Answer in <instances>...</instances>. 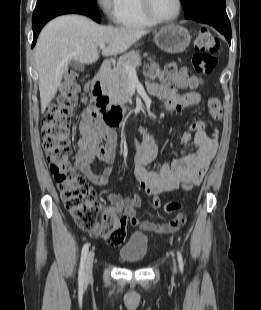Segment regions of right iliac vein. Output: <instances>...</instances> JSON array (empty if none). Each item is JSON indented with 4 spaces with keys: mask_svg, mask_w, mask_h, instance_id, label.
Segmentation results:
<instances>
[{
    "mask_svg": "<svg viewBox=\"0 0 261 310\" xmlns=\"http://www.w3.org/2000/svg\"><path fill=\"white\" fill-rule=\"evenodd\" d=\"M93 262H94V251H90L87 256L86 260V269H85V280L89 281L92 277V269H93Z\"/></svg>",
    "mask_w": 261,
    "mask_h": 310,
    "instance_id": "obj_1",
    "label": "right iliac vein"
}]
</instances>
